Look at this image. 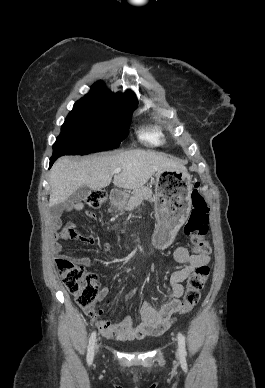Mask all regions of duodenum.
I'll list each match as a JSON object with an SVG mask.
<instances>
[{
  "mask_svg": "<svg viewBox=\"0 0 265 388\" xmlns=\"http://www.w3.org/2000/svg\"><path fill=\"white\" fill-rule=\"evenodd\" d=\"M125 199L124 193L119 190H113L110 194V201L114 205L121 204Z\"/></svg>",
  "mask_w": 265,
  "mask_h": 388,
  "instance_id": "1",
  "label": "duodenum"
}]
</instances>
